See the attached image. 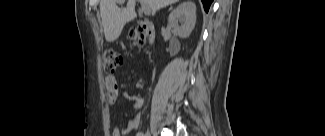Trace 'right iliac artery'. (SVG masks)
Returning a JSON list of instances; mask_svg holds the SVG:
<instances>
[{"mask_svg":"<svg viewBox=\"0 0 325 136\" xmlns=\"http://www.w3.org/2000/svg\"><path fill=\"white\" fill-rule=\"evenodd\" d=\"M138 136H143V133H141V132H140V133H138Z\"/></svg>","mask_w":325,"mask_h":136,"instance_id":"right-iliac-artery-1","label":"right iliac artery"}]
</instances>
